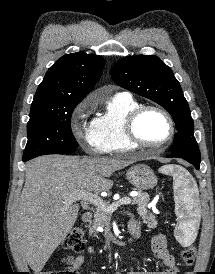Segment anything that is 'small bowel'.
<instances>
[{"label":"small bowel","instance_id":"c3829d8e","mask_svg":"<svg viewBox=\"0 0 215 274\" xmlns=\"http://www.w3.org/2000/svg\"><path fill=\"white\" fill-rule=\"evenodd\" d=\"M130 228H136L140 231L141 224L137 219H133L129 223ZM151 247L153 254L156 258L161 260L165 266V269L162 271L156 272H130L129 274H177V262L175 256L169 251L166 237L162 234H156L151 239ZM86 252L88 254L95 253V247L93 245H89L86 248ZM85 261V255L80 254L76 257L69 256L67 258L68 262V271L71 274H80L81 267ZM91 274H100L98 272H92ZM121 274V273H117ZM185 274H192L191 272H186Z\"/></svg>","mask_w":215,"mask_h":274}]
</instances>
